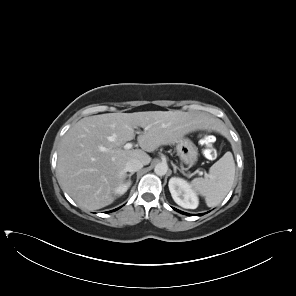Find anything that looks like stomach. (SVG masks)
<instances>
[{"instance_id": "obj_1", "label": "stomach", "mask_w": 296, "mask_h": 296, "mask_svg": "<svg viewBox=\"0 0 296 296\" xmlns=\"http://www.w3.org/2000/svg\"><path fill=\"white\" fill-rule=\"evenodd\" d=\"M177 155L180 160L188 165L193 166L198 159V148L188 138H181L176 145Z\"/></svg>"}]
</instances>
